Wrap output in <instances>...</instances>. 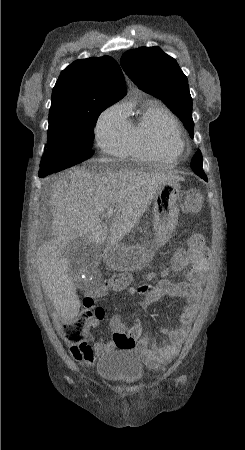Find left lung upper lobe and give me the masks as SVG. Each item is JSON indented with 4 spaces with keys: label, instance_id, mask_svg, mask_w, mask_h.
I'll return each instance as SVG.
<instances>
[{
    "label": "left lung upper lobe",
    "instance_id": "1",
    "mask_svg": "<svg viewBox=\"0 0 245 450\" xmlns=\"http://www.w3.org/2000/svg\"><path fill=\"white\" fill-rule=\"evenodd\" d=\"M120 63L123 70L141 90L168 104L193 138L192 98L187 77L176 60L165 54L159 47H141L125 52ZM191 168L198 176H206L202 169L200 150L194 155Z\"/></svg>",
    "mask_w": 245,
    "mask_h": 450
}]
</instances>
